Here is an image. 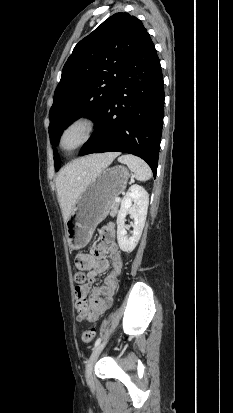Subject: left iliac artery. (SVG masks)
Wrapping results in <instances>:
<instances>
[{"label":"left iliac artery","instance_id":"44dca946","mask_svg":"<svg viewBox=\"0 0 233 413\" xmlns=\"http://www.w3.org/2000/svg\"><path fill=\"white\" fill-rule=\"evenodd\" d=\"M101 342V338H98L94 344V348H96Z\"/></svg>","mask_w":233,"mask_h":413}]
</instances>
